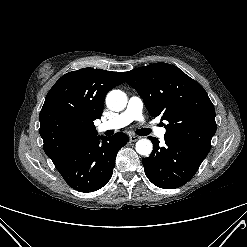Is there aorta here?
Wrapping results in <instances>:
<instances>
[{
	"label": "aorta",
	"mask_w": 247,
	"mask_h": 247,
	"mask_svg": "<svg viewBox=\"0 0 247 247\" xmlns=\"http://www.w3.org/2000/svg\"><path fill=\"white\" fill-rule=\"evenodd\" d=\"M106 105L112 111H122L127 105V96L121 90H112L106 96ZM153 145L148 139H141L136 143V151L140 155L151 154Z\"/></svg>",
	"instance_id": "aorta-1"
}]
</instances>
